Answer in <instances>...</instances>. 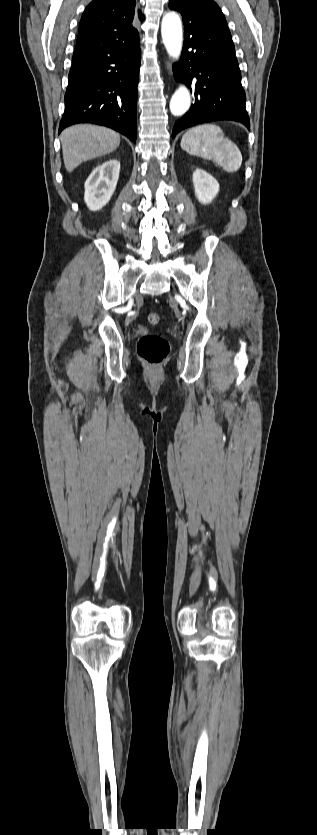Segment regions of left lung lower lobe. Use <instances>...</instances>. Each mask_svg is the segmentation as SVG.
Masks as SVG:
<instances>
[{
	"instance_id": "left-lung-lower-lobe-1",
	"label": "left lung lower lobe",
	"mask_w": 317,
	"mask_h": 835,
	"mask_svg": "<svg viewBox=\"0 0 317 835\" xmlns=\"http://www.w3.org/2000/svg\"><path fill=\"white\" fill-rule=\"evenodd\" d=\"M181 65H174V76L189 88L195 84V103L175 123L172 137L197 124L219 120L237 121L250 130L241 72L228 29L197 23L185 30Z\"/></svg>"
}]
</instances>
